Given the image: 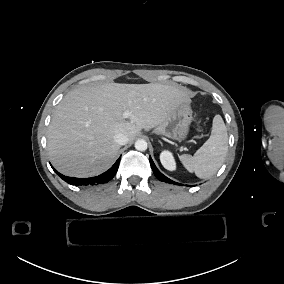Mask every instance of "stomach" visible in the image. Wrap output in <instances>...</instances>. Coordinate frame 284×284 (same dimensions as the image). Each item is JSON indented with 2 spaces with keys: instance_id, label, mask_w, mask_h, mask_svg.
I'll use <instances>...</instances> for the list:
<instances>
[{
  "instance_id": "obj_1",
  "label": "stomach",
  "mask_w": 284,
  "mask_h": 284,
  "mask_svg": "<svg viewBox=\"0 0 284 284\" xmlns=\"http://www.w3.org/2000/svg\"><path fill=\"white\" fill-rule=\"evenodd\" d=\"M192 121L193 113L189 104H184L177 108L165 122L159 124L153 133L183 143L188 140Z\"/></svg>"
}]
</instances>
